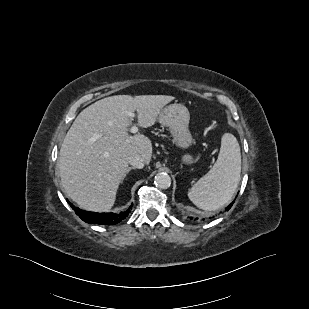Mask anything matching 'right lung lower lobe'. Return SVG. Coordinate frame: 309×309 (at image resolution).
Here are the masks:
<instances>
[{
	"instance_id": "obj_1",
	"label": "right lung lower lobe",
	"mask_w": 309,
	"mask_h": 309,
	"mask_svg": "<svg viewBox=\"0 0 309 309\" xmlns=\"http://www.w3.org/2000/svg\"><path fill=\"white\" fill-rule=\"evenodd\" d=\"M67 202L71 206V208L75 211V213L85 222L89 224H100V225H114L118 222L125 219L130 209H132V205L123 213L120 214H114V213H95V212H88L79 209L78 207H75L72 205L68 200Z\"/></svg>"
}]
</instances>
